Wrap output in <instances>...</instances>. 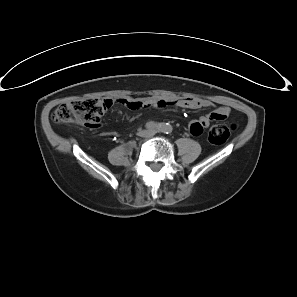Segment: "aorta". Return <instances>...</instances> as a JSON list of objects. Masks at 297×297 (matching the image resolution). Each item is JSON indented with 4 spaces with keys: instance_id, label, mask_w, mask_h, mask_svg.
Wrapping results in <instances>:
<instances>
[{
    "instance_id": "1",
    "label": "aorta",
    "mask_w": 297,
    "mask_h": 297,
    "mask_svg": "<svg viewBox=\"0 0 297 297\" xmlns=\"http://www.w3.org/2000/svg\"><path fill=\"white\" fill-rule=\"evenodd\" d=\"M168 127H169V126H167V128L165 129L166 132H169Z\"/></svg>"
}]
</instances>
